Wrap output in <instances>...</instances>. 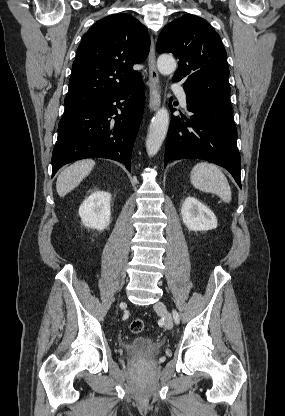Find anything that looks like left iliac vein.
Returning a JSON list of instances; mask_svg holds the SVG:
<instances>
[{"instance_id": "4c4485c4", "label": "left iliac vein", "mask_w": 285, "mask_h": 416, "mask_svg": "<svg viewBox=\"0 0 285 416\" xmlns=\"http://www.w3.org/2000/svg\"><path fill=\"white\" fill-rule=\"evenodd\" d=\"M154 309L164 318L166 329L170 330L173 328V317L168 312L167 306L163 301H157L154 305Z\"/></svg>"}]
</instances>
